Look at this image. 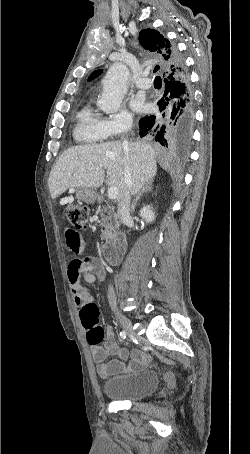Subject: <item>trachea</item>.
Returning a JSON list of instances; mask_svg holds the SVG:
<instances>
[{"instance_id": "1", "label": "trachea", "mask_w": 250, "mask_h": 454, "mask_svg": "<svg viewBox=\"0 0 250 454\" xmlns=\"http://www.w3.org/2000/svg\"><path fill=\"white\" fill-rule=\"evenodd\" d=\"M158 69H159V66H156V67L154 68V72L158 71ZM160 80H161V78H160L159 76H156L155 82H158V81H160Z\"/></svg>"}]
</instances>
